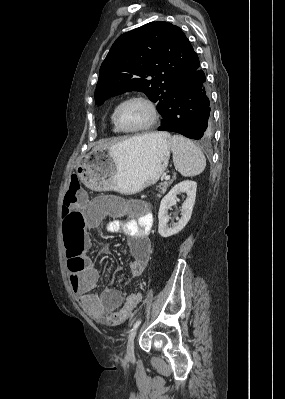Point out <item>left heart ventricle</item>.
Masks as SVG:
<instances>
[{
	"mask_svg": "<svg viewBox=\"0 0 285 399\" xmlns=\"http://www.w3.org/2000/svg\"><path fill=\"white\" fill-rule=\"evenodd\" d=\"M150 118V109L141 101H132L125 104L119 115L120 122L125 128L139 127L146 124Z\"/></svg>",
	"mask_w": 285,
	"mask_h": 399,
	"instance_id": "obj_1",
	"label": "left heart ventricle"
}]
</instances>
